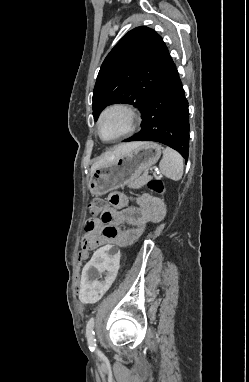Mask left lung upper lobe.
<instances>
[{
    "instance_id": "5c2ea615",
    "label": "left lung upper lobe",
    "mask_w": 249,
    "mask_h": 382,
    "mask_svg": "<svg viewBox=\"0 0 249 382\" xmlns=\"http://www.w3.org/2000/svg\"><path fill=\"white\" fill-rule=\"evenodd\" d=\"M173 64L162 38L152 29L126 33L105 58L93 91V116L114 103H128L144 115Z\"/></svg>"
}]
</instances>
